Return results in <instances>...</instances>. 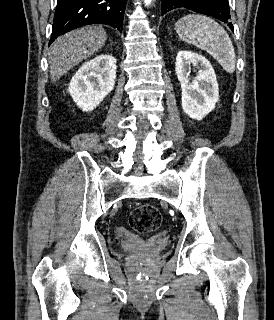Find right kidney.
<instances>
[{
  "label": "right kidney",
  "mask_w": 274,
  "mask_h": 320,
  "mask_svg": "<svg viewBox=\"0 0 274 320\" xmlns=\"http://www.w3.org/2000/svg\"><path fill=\"white\" fill-rule=\"evenodd\" d=\"M116 60L111 54H101L85 62L69 84L70 96L82 112H92L114 90Z\"/></svg>",
  "instance_id": "ca27d5eb"
}]
</instances>
